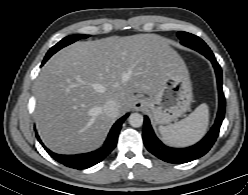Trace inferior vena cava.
Wrapping results in <instances>:
<instances>
[{"mask_svg":"<svg viewBox=\"0 0 248 195\" xmlns=\"http://www.w3.org/2000/svg\"><path fill=\"white\" fill-rule=\"evenodd\" d=\"M103 112L105 115L116 118L119 113V104L116 100L110 99L106 101L103 106Z\"/></svg>","mask_w":248,"mask_h":195,"instance_id":"inferior-vena-cava-1","label":"inferior vena cava"}]
</instances>
